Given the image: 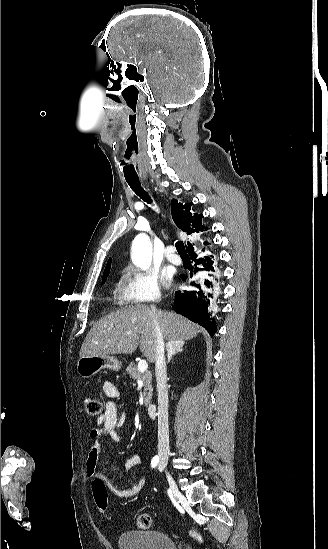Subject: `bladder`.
<instances>
[{"instance_id":"1","label":"bladder","mask_w":328,"mask_h":549,"mask_svg":"<svg viewBox=\"0 0 328 549\" xmlns=\"http://www.w3.org/2000/svg\"><path fill=\"white\" fill-rule=\"evenodd\" d=\"M118 543L120 549H176L173 540L159 531L121 533Z\"/></svg>"}]
</instances>
